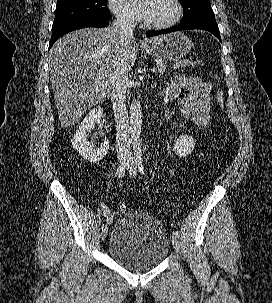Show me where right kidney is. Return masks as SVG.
Listing matches in <instances>:
<instances>
[{
	"instance_id": "1",
	"label": "right kidney",
	"mask_w": 272,
	"mask_h": 303,
	"mask_svg": "<svg viewBox=\"0 0 272 303\" xmlns=\"http://www.w3.org/2000/svg\"><path fill=\"white\" fill-rule=\"evenodd\" d=\"M103 120V109L96 107L89 111L81 124L79 125L76 134L73 136L72 146L85 160L89 162L101 161L108 152L109 142L107 139L101 143L100 147L95 148L94 144L88 139L89 133L94 129L96 124H100Z\"/></svg>"
}]
</instances>
